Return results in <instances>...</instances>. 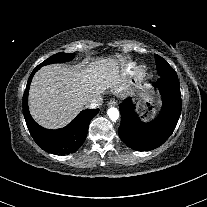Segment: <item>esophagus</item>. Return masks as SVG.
Returning <instances> with one entry per match:
<instances>
[{"mask_svg": "<svg viewBox=\"0 0 207 207\" xmlns=\"http://www.w3.org/2000/svg\"><path fill=\"white\" fill-rule=\"evenodd\" d=\"M107 105L110 107H114L117 105V102L115 100H110V101H108Z\"/></svg>", "mask_w": 207, "mask_h": 207, "instance_id": "34e87169", "label": "esophagus"}]
</instances>
